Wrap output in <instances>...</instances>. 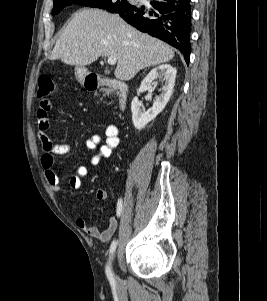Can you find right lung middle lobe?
Masks as SVG:
<instances>
[{"mask_svg":"<svg viewBox=\"0 0 267 301\" xmlns=\"http://www.w3.org/2000/svg\"><path fill=\"white\" fill-rule=\"evenodd\" d=\"M73 3L103 9L111 13H120L132 7L127 0H54L52 15L59 13L64 7Z\"/></svg>","mask_w":267,"mask_h":301,"instance_id":"dd1d6c3e","label":"right lung middle lobe"}]
</instances>
